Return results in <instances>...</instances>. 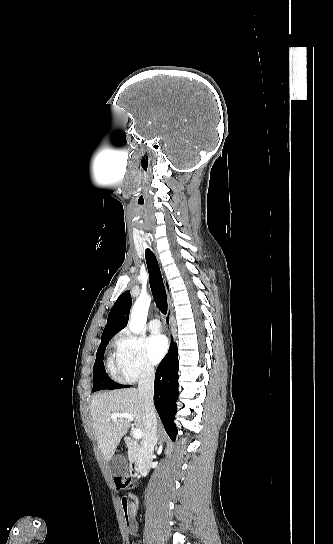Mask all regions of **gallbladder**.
<instances>
[{
  "label": "gallbladder",
  "instance_id": "obj_1",
  "mask_svg": "<svg viewBox=\"0 0 333 544\" xmlns=\"http://www.w3.org/2000/svg\"><path fill=\"white\" fill-rule=\"evenodd\" d=\"M113 476H123L128 472V462L123 455L115 456L109 463Z\"/></svg>",
  "mask_w": 333,
  "mask_h": 544
}]
</instances>
